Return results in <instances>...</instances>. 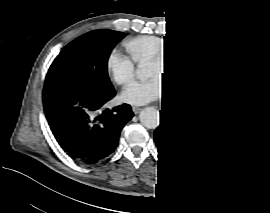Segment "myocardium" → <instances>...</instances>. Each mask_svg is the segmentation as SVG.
I'll use <instances>...</instances> for the list:
<instances>
[{
	"label": "myocardium",
	"instance_id": "1",
	"mask_svg": "<svg viewBox=\"0 0 270 213\" xmlns=\"http://www.w3.org/2000/svg\"><path fill=\"white\" fill-rule=\"evenodd\" d=\"M184 50L182 48H175L173 51L174 55L177 54H184ZM168 54L170 55V53H165V55H158L157 57H154L150 60L149 64L150 67L154 66V67H158L160 68L163 72L164 70H166V66H167V62H168ZM161 56V57H160ZM190 69H188L185 80L183 81V83L181 85L178 86H173L172 87V92L173 93H177L179 92L184 86H186L189 82V71Z\"/></svg>",
	"mask_w": 270,
	"mask_h": 213
}]
</instances>
